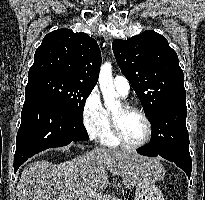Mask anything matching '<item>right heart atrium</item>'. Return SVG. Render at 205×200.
Returning <instances> with one entry per match:
<instances>
[{
	"mask_svg": "<svg viewBox=\"0 0 205 200\" xmlns=\"http://www.w3.org/2000/svg\"><path fill=\"white\" fill-rule=\"evenodd\" d=\"M108 121V114L101 102L98 90H92L86 97L82 107V122L91 139H98Z\"/></svg>",
	"mask_w": 205,
	"mask_h": 200,
	"instance_id": "obj_1",
	"label": "right heart atrium"
}]
</instances>
